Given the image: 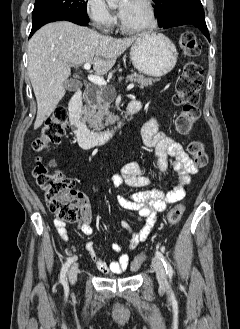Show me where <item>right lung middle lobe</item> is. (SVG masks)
I'll use <instances>...</instances> for the list:
<instances>
[{
    "mask_svg": "<svg viewBox=\"0 0 240 329\" xmlns=\"http://www.w3.org/2000/svg\"><path fill=\"white\" fill-rule=\"evenodd\" d=\"M86 0H36L32 19L41 15H58L89 21Z\"/></svg>",
    "mask_w": 240,
    "mask_h": 329,
    "instance_id": "obj_1",
    "label": "right lung middle lobe"
}]
</instances>
